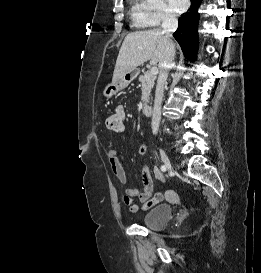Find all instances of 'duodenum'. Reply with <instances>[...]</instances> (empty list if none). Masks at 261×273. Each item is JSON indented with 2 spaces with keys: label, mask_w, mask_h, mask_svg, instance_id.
<instances>
[{
  "label": "duodenum",
  "mask_w": 261,
  "mask_h": 273,
  "mask_svg": "<svg viewBox=\"0 0 261 273\" xmlns=\"http://www.w3.org/2000/svg\"><path fill=\"white\" fill-rule=\"evenodd\" d=\"M142 112L146 116H150L152 114V106L149 103H145L142 107Z\"/></svg>",
  "instance_id": "obj_1"
}]
</instances>
